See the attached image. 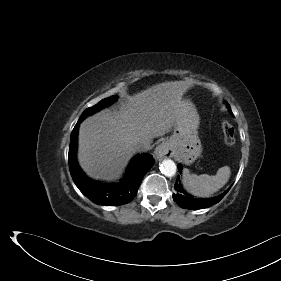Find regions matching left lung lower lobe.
Here are the masks:
<instances>
[{
    "label": "left lung lower lobe",
    "mask_w": 281,
    "mask_h": 281,
    "mask_svg": "<svg viewBox=\"0 0 281 281\" xmlns=\"http://www.w3.org/2000/svg\"><path fill=\"white\" fill-rule=\"evenodd\" d=\"M181 170V167H179V171ZM176 189V193L173 194V199L177 204L184 208V209H203L210 207L216 203H218L228 192L225 191L221 195L214 197V198H208V199H197L190 195H188L181 187V185L177 182L174 186Z\"/></svg>",
    "instance_id": "left-lung-lower-lobe-1"
}]
</instances>
